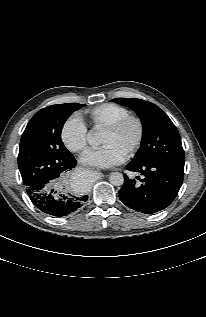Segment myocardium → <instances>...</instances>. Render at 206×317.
Wrapping results in <instances>:
<instances>
[{
    "label": "myocardium",
    "mask_w": 206,
    "mask_h": 317,
    "mask_svg": "<svg viewBox=\"0 0 206 317\" xmlns=\"http://www.w3.org/2000/svg\"><path fill=\"white\" fill-rule=\"evenodd\" d=\"M130 123H135L137 126V134L135 137V140L130 145V147L125 152V155L130 156L134 152L138 150V148L141 146L144 135H145V125L141 117L135 114H127L109 124H107L104 127V131L106 132H118L122 130L124 127H126Z\"/></svg>",
    "instance_id": "myocardium-1"
}]
</instances>
